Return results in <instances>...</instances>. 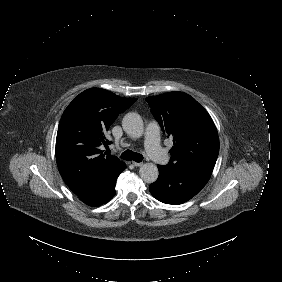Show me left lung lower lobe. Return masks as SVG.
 I'll list each match as a JSON object with an SVG mask.
<instances>
[{"mask_svg":"<svg viewBox=\"0 0 282 282\" xmlns=\"http://www.w3.org/2000/svg\"><path fill=\"white\" fill-rule=\"evenodd\" d=\"M159 177L150 185L157 200L172 205L182 204L194 197L208 182L213 168L158 165Z\"/></svg>","mask_w":282,"mask_h":282,"instance_id":"left-lung-lower-lobe-1","label":"left lung lower lobe"}]
</instances>
